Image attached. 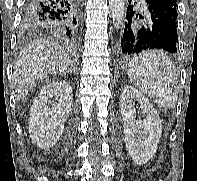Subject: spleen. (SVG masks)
I'll list each match as a JSON object with an SVG mask.
<instances>
[{"label": "spleen", "mask_w": 197, "mask_h": 181, "mask_svg": "<svg viewBox=\"0 0 197 181\" xmlns=\"http://www.w3.org/2000/svg\"><path fill=\"white\" fill-rule=\"evenodd\" d=\"M127 74L131 83L164 108L177 102V77L172 61L162 50H149L135 56Z\"/></svg>", "instance_id": "obj_1"}]
</instances>
